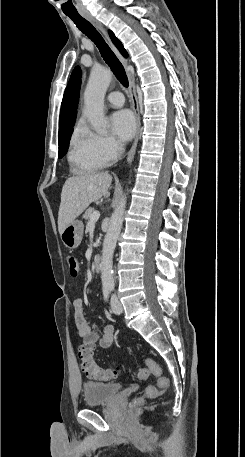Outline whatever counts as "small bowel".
<instances>
[{
    "mask_svg": "<svg viewBox=\"0 0 245 457\" xmlns=\"http://www.w3.org/2000/svg\"><path fill=\"white\" fill-rule=\"evenodd\" d=\"M73 312L78 335L84 343L92 345L98 343L102 348H108L112 344L113 327L110 325L105 326L101 335L93 331L84 316L82 299L77 298L73 301Z\"/></svg>",
    "mask_w": 245,
    "mask_h": 457,
    "instance_id": "obj_1",
    "label": "small bowel"
}]
</instances>
